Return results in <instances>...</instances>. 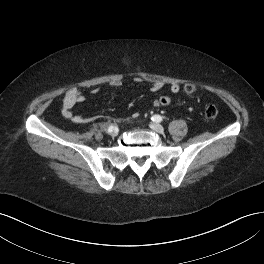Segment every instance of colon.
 <instances>
[{
  "instance_id": "1",
  "label": "colon",
  "mask_w": 264,
  "mask_h": 264,
  "mask_svg": "<svg viewBox=\"0 0 264 264\" xmlns=\"http://www.w3.org/2000/svg\"><path fill=\"white\" fill-rule=\"evenodd\" d=\"M184 92L187 94H192L196 91L193 84H185L183 86ZM159 106H169L172 103V99L169 96H161L158 99ZM204 115L207 119H215L218 116V109L214 105H208L204 109Z\"/></svg>"
}]
</instances>
